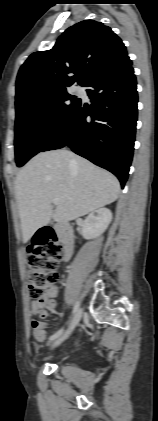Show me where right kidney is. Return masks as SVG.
<instances>
[{
	"label": "right kidney",
	"mask_w": 158,
	"mask_h": 421,
	"mask_svg": "<svg viewBox=\"0 0 158 421\" xmlns=\"http://www.w3.org/2000/svg\"><path fill=\"white\" fill-rule=\"evenodd\" d=\"M112 221V212L107 208H100L90 213L82 224V235L85 239L100 236Z\"/></svg>",
	"instance_id": "ca27d5eb"
}]
</instances>
